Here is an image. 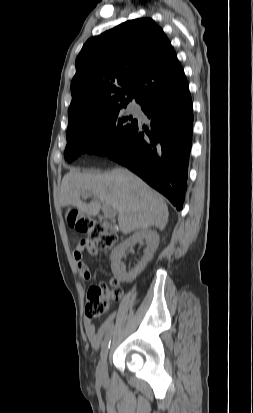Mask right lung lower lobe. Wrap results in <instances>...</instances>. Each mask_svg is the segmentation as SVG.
<instances>
[{
	"label": "right lung lower lobe",
	"instance_id": "98d812e1",
	"mask_svg": "<svg viewBox=\"0 0 253 413\" xmlns=\"http://www.w3.org/2000/svg\"><path fill=\"white\" fill-rule=\"evenodd\" d=\"M192 100L187 87L181 94L157 98L142 105L151 130L140 124L104 156L126 166L177 208L187 188L192 146Z\"/></svg>",
	"mask_w": 253,
	"mask_h": 413
}]
</instances>
